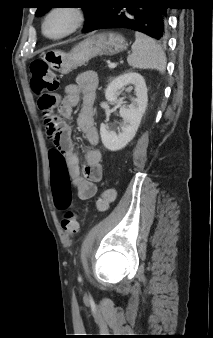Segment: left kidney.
Segmentation results:
<instances>
[{
    "instance_id": "left-kidney-1",
    "label": "left kidney",
    "mask_w": 213,
    "mask_h": 338,
    "mask_svg": "<svg viewBox=\"0 0 213 338\" xmlns=\"http://www.w3.org/2000/svg\"><path fill=\"white\" fill-rule=\"evenodd\" d=\"M132 90L136 93V98L130 105H123L120 108V116L124 122L121 124V131L116 133L110 130L104 123L100 126V135L103 145L110 151L123 149L134 137L145 113L148 96L144 78L135 72H126L114 78L105 91L107 101H118L119 92L122 89Z\"/></svg>"
}]
</instances>
